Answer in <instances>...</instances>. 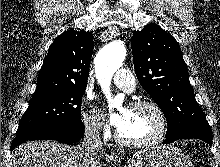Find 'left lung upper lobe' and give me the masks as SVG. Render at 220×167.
I'll list each match as a JSON object with an SVG mask.
<instances>
[{
    "instance_id": "1",
    "label": "left lung upper lobe",
    "mask_w": 220,
    "mask_h": 167,
    "mask_svg": "<svg viewBox=\"0 0 220 167\" xmlns=\"http://www.w3.org/2000/svg\"><path fill=\"white\" fill-rule=\"evenodd\" d=\"M135 72L141 86L167 119L166 138H175L209 127L199 107L182 52L175 38L156 24H148L132 36Z\"/></svg>"
}]
</instances>
